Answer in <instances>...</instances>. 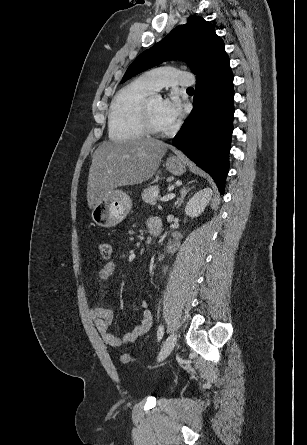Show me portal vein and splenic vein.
Masks as SVG:
<instances>
[{
	"instance_id": "1",
	"label": "portal vein and splenic vein",
	"mask_w": 307,
	"mask_h": 445,
	"mask_svg": "<svg viewBox=\"0 0 307 445\" xmlns=\"http://www.w3.org/2000/svg\"><path fill=\"white\" fill-rule=\"evenodd\" d=\"M174 196H176V194H173V192H171V194H166V196H163V198H160V200H171V198H174Z\"/></svg>"
}]
</instances>
